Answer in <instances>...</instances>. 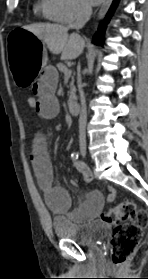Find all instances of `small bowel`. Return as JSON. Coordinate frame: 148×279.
<instances>
[{
	"mask_svg": "<svg viewBox=\"0 0 148 279\" xmlns=\"http://www.w3.org/2000/svg\"><path fill=\"white\" fill-rule=\"evenodd\" d=\"M58 82V72L52 66L44 67L32 87L38 105L35 111L44 119H52L59 113V102L55 95ZM30 160L38 185L43 190L46 202L56 213L68 212L71 208V197L66 189L57 186L53 181V170L44 135L37 132L34 136ZM75 168L84 179H92L89 167L80 161H74ZM74 184V183H73ZM116 192L113 188L107 190V200L114 201ZM104 197L97 190L91 191L84 202L70 212V218L75 222L91 220L97 217L103 208Z\"/></svg>",
	"mask_w": 148,
	"mask_h": 279,
	"instance_id": "small-bowel-1",
	"label": "small bowel"
}]
</instances>
